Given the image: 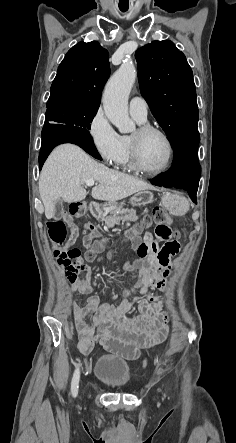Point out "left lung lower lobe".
I'll list each match as a JSON object with an SVG mask.
<instances>
[{
	"mask_svg": "<svg viewBox=\"0 0 236 443\" xmlns=\"http://www.w3.org/2000/svg\"><path fill=\"white\" fill-rule=\"evenodd\" d=\"M199 142V136L181 142L174 149L173 165L170 170L158 175L151 183L166 188L187 190L192 201L197 203L196 193L201 174L198 162Z\"/></svg>",
	"mask_w": 236,
	"mask_h": 443,
	"instance_id": "obj_1",
	"label": "left lung lower lobe"
}]
</instances>
